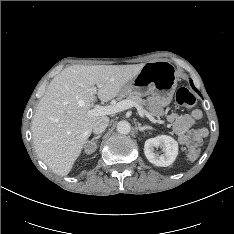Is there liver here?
<instances>
[{
    "label": "liver",
    "mask_w": 234,
    "mask_h": 234,
    "mask_svg": "<svg viewBox=\"0 0 234 234\" xmlns=\"http://www.w3.org/2000/svg\"><path fill=\"white\" fill-rule=\"evenodd\" d=\"M143 65H74L52 79L36 108L32 133L39 158L54 173L71 171L94 123L102 117L88 114L96 99L91 88L96 85L98 98L108 102Z\"/></svg>",
    "instance_id": "1"
}]
</instances>
